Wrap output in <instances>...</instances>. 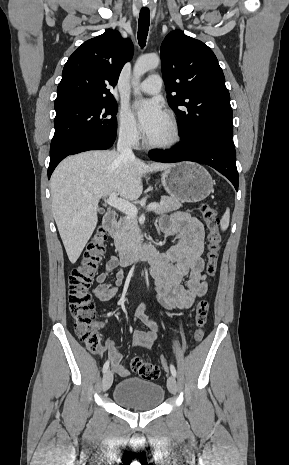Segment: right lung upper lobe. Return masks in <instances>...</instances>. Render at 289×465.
Here are the masks:
<instances>
[{
	"instance_id": "right-lung-upper-lobe-1",
	"label": "right lung upper lobe",
	"mask_w": 289,
	"mask_h": 465,
	"mask_svg": "<svg viewBox=\"0 0 289 465\" xmlns=\"http://www.w3.org/2000/svg\"><path fill=\"white\" fill-rule=\"evenodd\" d=\"M133 56V44L115 30L87 40L66 62L57 88L55 105L73 101L113 99L120 72Z\"/></svg>"
}]
</instances>
